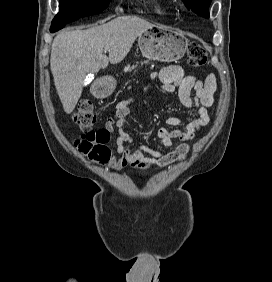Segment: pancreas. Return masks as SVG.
Segmentation results:
<instances>
[{
  "instance_id": "cf45deb5",
  "label": "pancreas",
  "mask_w": 272,
  "mask_h": 282,
  "mask_svg": "<svg viewBox=\"0 0 272 282\" xmlns=\"http://www.w3.org/2000/svg\"><path fill=\"white\" fill-rule=\"evenodd\" d=\"M144 63L147 64L148 61L141 62V65H143ZM137 66H138L137 63H136V65H132V66H131V65H127V66L124 68V72H125V73L131 72V71L134 70Z\"/></svg>"
}]
</instances>
